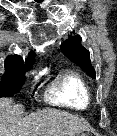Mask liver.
Instances as JSON below:
<instances>
[{
    "label": "liver",
    "instance_id": "6515ba94",
    "mask_svg": "<svg viewBox=\"0 0 117 136\" xmlns=\"http://www.w3.org/2000/svg\"><path fill=\"white\" fill-rule=\"evenodd\" d=\"M22 114V105L0 98V136H75L89 129L79 116L57 109Z\"/></svg>",
    "mask_w": 117,
    "mask_h": 136
}]
</instances>
